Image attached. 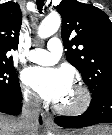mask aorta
Instances as JSON below:
<instances>
[{
	"label": "aorta",
	"mask_w": 112,
	"mask_h": 135,
	"mask_svg": "<svg viewBox=\"0 0 112 135\" xmlns=\"http://www.w3.org/2000/svg\"><path fill=\"white\" fill-rule=\"evenodd\" d=\"M61 25V17L57 13H51L44 18L38 28V36L40 38H48L55 34ZM48 135H52L48 133Z\"/></svg>",
	"instance_id": "obj_1"
}]
</instances>
